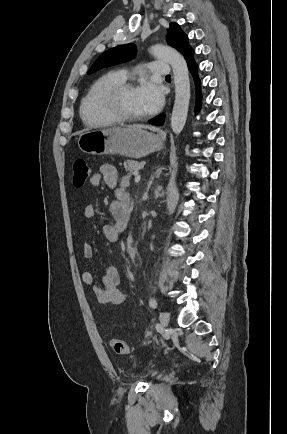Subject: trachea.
Masks as SVG:
<instances>
[{
    "instance_id": "1",
    "label": "trachea",
    "mask_w": 287,
    "mask_h": 434,
    "mask_svg": "<svg viewBox=\"0 0 287 434\" xmlns=\"http://www.w3.org/2000/svg\"><path fill=\"white\" fill-rule=\"evenodd\" d=\"M166 78H171V76H170V75H167Z\"/></svg>"
}]
</instances>
